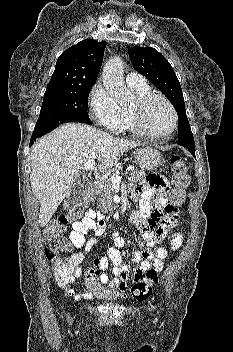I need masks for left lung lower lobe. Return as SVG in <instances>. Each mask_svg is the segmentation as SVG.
<instances>
[{"instance_id": "left-lung-lower-lobe-1", "label": "left lung lower lobe", "mask_w": 233, "mask_h": 352, "mask_svg": "<svg viewBox=\"0 0 233 352\" xmlns=\"http://www.w3.org/2000/svg\"><path fill=\"white\" fill-rule=\"evenodd\" d=\"M187 148H188L189 152H190L193 156H195V147H187Z\"/></svg>"}]
</instances>
